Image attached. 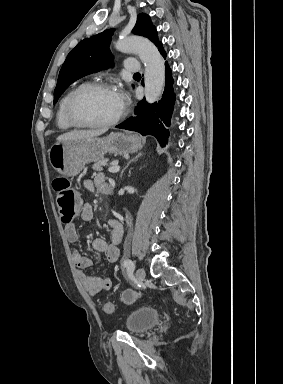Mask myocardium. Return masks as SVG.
<instances>
[{
	"mask_svg": "<svg viewBox=\"0 0 283 384\" xmlns=\"http://www.w3.org/2000/svg\"><path fill=\"white\" fill-rule=\"evenodd\" d=\"M94 90H110L113 91V88L111 85L104 83V82H94V83H88L80 86L78 89H76L71 96L69 97L66 108H65V117L67 122L76 129H84V130H100V129H107L114 125H116L120 119L123 117V109L120 108L118 114L111 120L103 123H96V124H82L79 123L75 117H74V106L76 101L80 96L83 94L94 91Z\"/></svg>",
	"mask_w": 283,
	"mask_h": 384,
	"instance_id": "1",
	"label": "myocardium"
}]
</instances>
